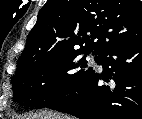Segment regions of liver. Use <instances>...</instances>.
Here are the masks:
<instances>
[{"label":"liver","instance_id":"1","mask_svg":"<svg viewBox=\"0 0 142 119\" xmlns=\"http://www.w3.org/2000/svg\"><path fill=\"white\" fill-rule=\"evenodd\" d=\"M22 119H71L68 116H63L60 114H45V113H36L31 116H25Z\"/></svg>","mask_w":142,"mask_h":119}]
</instances>
